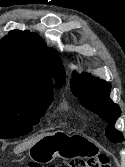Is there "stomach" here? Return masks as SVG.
<instances>
[{"instance_id": "stomach-1", "label": "stomach", "mask_w": 125, "mask_h": 167, "mask_svg": "<svg viewBox=\"0 0 125 167\" xmlns=\"http://www.w3.org/2000/svg\"><path fill=\"white\" fill-rule=\"evenodd\" d=\"M98 146L81 133L58 131L48 135L29 148V157L39 165L51 162L56 157L73 159L75 157L97 154Z\"/></svg>"}]
</instances>
